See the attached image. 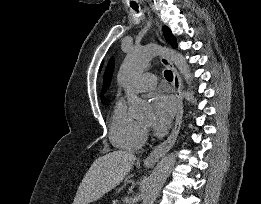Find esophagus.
<instances>
[{"label":"esophagus","instance_id":"esophagus-1","mask_svg":"<svg viewBox=\"0 0 261 204\" xmlns=\"http://www.w3.org/2000/svg\"><path fill=\"white\" fill-rule=\"evenodd\" d=\"M161 62L165 67L169 68L173 73V88L177 101V113H176L175 125L171 134L164 142L157 145L147 156V158L144 160V165L146 167H152L160 159V157L165 155L171 149L180 131L182 118H183V94H182L181 79L173 63L168 58L161 57Z\"/></svg>","mask_w":261,"mask_h":204}]
</instances>
